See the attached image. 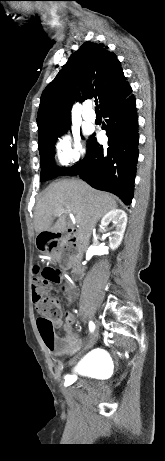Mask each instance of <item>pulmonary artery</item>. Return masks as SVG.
I'll return each instance as SVG.
<instances>
[{
    "label": "pulmonary artery",
    "instance_id": "pulmonary-artery-1",
    "mask_svg": "<svg viewBox=\"0 0 165 461\" xmlns=\"http://www.w3.org/2000/svg\"><path fill=\"white\" fill-rule=\"evenodd\" d=\"M83 118L87 122H93L95 120V118H96V115H95V113L90 112L89 109H85L84 112H83Z\"/></svg>",
    "mask_w": 165,
    "mask_h": 461
}]
</instances>
